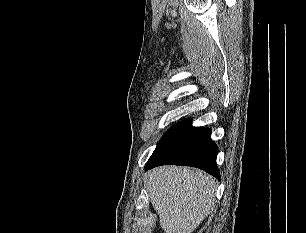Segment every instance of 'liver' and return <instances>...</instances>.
Here are the masks:
<instances>
[{
  "instance_id": "liver-1",
  "label": "liver",
  "mask_w": 306,
  "mask_h": 233,
  "mask_svg": "<svg viewBox=\"0 0 306 233\" xmlns=\"http://www.w3.org/2000/svg\"><path fill=\"white\" fill-rule=\"evenodd\" d=\"M144 184L165 233H192L214 206L215 180L197 169L155 168Z\"/></svg>"
}]
</instances>
